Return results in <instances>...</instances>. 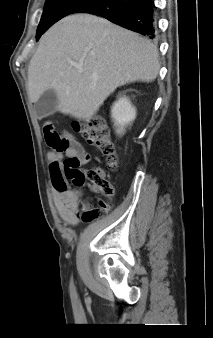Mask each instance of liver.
I'll return each mask as SVG.
<instances>
[{"label": "liver", "mask_w": 213, "mask_h": 338, "mask_svg": "<svg viewBox=\"0 0 213 338\" xmlns=\"http://www.w3.org/2000/svg\"><path fill=\"white\" fill-rule=\"evenodd\" d=\"M158 58L157 46L137 33L90 14L70 15L42 36L30 60L29 98L35 103L53 89L58 111L89 120L117 87L155 80Z\"/></svg>", "instance_id": "obj_1"}]
</instances>
